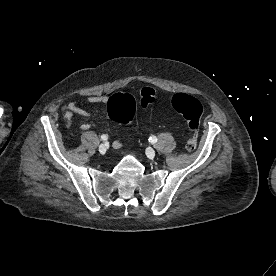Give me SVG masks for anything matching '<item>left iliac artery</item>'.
<instances>
[{"label": "left iliac artery", "instance_id": "1", "mask_svg": "<svg viewBox=\"0 0 276 276\" xmlns=\"http://www.w3.org/2000/svg\"><path fill=\"white\" fill-rule=\"evenodd\" d=\"M149 141H150L152 144H154V143L157 142V138H156L155 136H151V137L149 138Z\"/></svg>", "mask_w": 276, "mask_h": 276}]
</instances>
